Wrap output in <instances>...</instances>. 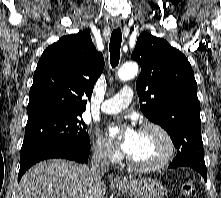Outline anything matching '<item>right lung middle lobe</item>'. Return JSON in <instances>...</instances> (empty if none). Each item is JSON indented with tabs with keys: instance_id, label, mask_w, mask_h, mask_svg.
I'll return each instance as SVG.
<instances>
[{
	"instance_id": "dd1d6c3e",
	"label": "right lung middle lobe",
	"mask_w": 221,
	"mask_h": 198,
	"mask_svg": "<svg viewBox=\"0 0 221 198\" xmlns=\"http://www.w3.org/2000/svg\"><path fill=\"white\" fill-rule=\"evenodd\" d=\"M81 115H48L28 121L20 158L38 148L58 143L90 149L87 125L80 120Z\"/></svg>"
}]
</instances>
